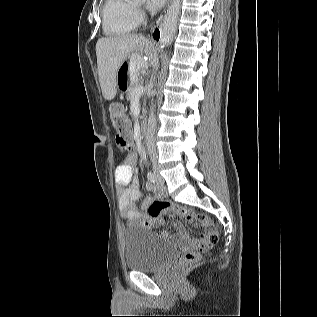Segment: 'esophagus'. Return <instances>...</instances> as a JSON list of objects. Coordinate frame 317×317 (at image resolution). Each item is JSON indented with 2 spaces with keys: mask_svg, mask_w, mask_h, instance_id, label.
<instances>
[{
  "mask_svg": "<svg viewBox=\"0 0 317 317\" xmlns=\"http://www.w3.org/2000/svg\"><path fill=\"white\" fill-rule=\"evenodd\" d=\"M159 24V22H158ZM154 27L153 31H152V37L156 40V41H162L163 40V33H162V29L160 28V26Z\"/></svg>",
  "mask_w": 317,
  "mask_h": 317,
  "instance_id": "34e87169",
  "label": "esophagus"
}]
</instances>
